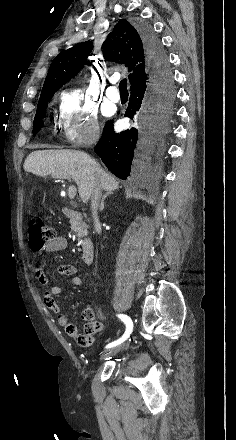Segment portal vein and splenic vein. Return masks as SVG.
I'll return each mask as SVG.
<instances>
[{"instance_id":"obj_1","label":"portal vein and splenic vein","mask_w":236,"mask_h":440,"mask_svg":"<svg viewBox=\"0 0 236 440\" xmlns=\"http://www.w3.org/2000/svg\"><path fill=\"white\" fill-rule=\"evenodd\" d=\"M56 178H58V177H56ZM68 196L70 199H74L76 196V188L73 185L69 186V188H68Z\"/></svg>"}]
</instances>
